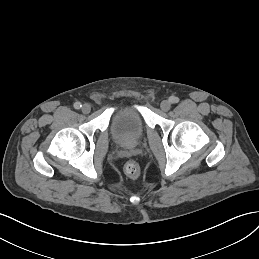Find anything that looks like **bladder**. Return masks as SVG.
I'll use <instances>...</instances> for the list:
<instances>
[{
  "mask_svg": "<svg viewBox=\"0 0 259 259\" xmlns=\"http://www.w3.org/2000/svg\"><path fill=\"white\" fill-rule=\"evenodd\" d=\"M145 133V124L139 109L133 104L119 107L113 114L111 134L122 145L139 142Z\"/></svg>",
  "mask_w": 259,
  "mask_h": 259,
  "instance_id": "1",
  "label": "bladder"
}]
</instances>
